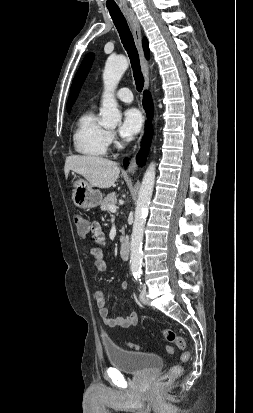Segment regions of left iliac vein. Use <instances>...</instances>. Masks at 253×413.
I'll use <instances>...</instances> for the list:
<instances>
[{
	"mask_svg": "<svg viewBox=\"0 0 253 413\" xmlns=\"http://www.w3.org/2000/svg\"><path fill=\"white\" fill-rule=\"evenodd\" d=\"M140 301L143 304H147L148 303V298H147V292H146V287L143 286L142 291L140 293Z\"/></svg>",
	"mask_w": 253,
	"mask_h": 413,
	"instance_id": "4c4485c4",
	"label": "left iliac vein"
}]
</instances>
